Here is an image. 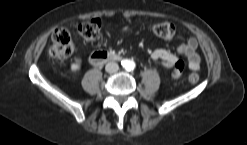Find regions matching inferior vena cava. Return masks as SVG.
Instances as JSON below:
<instances>
[{
  "instance_id": "602c4592",
  "label": "inferior vena cava",
  "mask_w": 247,
  "mask_h": 145,
  "mask_svg": "<svg viewBox=\"0 0 247 145\" xmlns=\"http://www.w3.org/2000/svg\"><path fill=\"white\" fill-rule=\"evenodd\" d=\"M105 70L108 73H115L119 70V66L116 62H109L106 64Z\"/></svg>"
}]
</instances>
